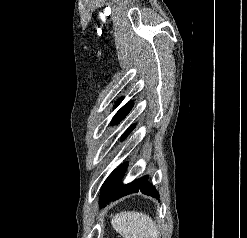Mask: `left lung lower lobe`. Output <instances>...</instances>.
<instances>
[{"mask_svg": "<svg viewBox=\"0 0 247 238\" xmlns=\"http://www.w3.org/2000/svg\"><path fill=\"white\" fill-rule=\"evenodd\" d=\"M126 171L125 164L114 170L111 175L104 182L99 198V205L102 206L105 203H109L115 199H119L122 196L142 192L143 194L158 198L159 194L155 187L149 183L148 176H143L129 184L124 185L121 182L122 177Z\"/></svg>", "mask_w": 247, "mask_h": 238, "instance_id": "1", "label": "left lung lower lobe"}]
</instances>
